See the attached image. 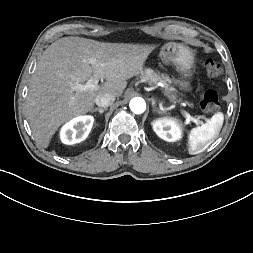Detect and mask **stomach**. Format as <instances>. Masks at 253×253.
I'll use <instances>...</instances> for the list:
<instances>
[{
  "mask_svg": "<svg viewBox=\"0 0 253 253\" xmlns=\"http://www.w3.org/2000/svg\"><path fill=\"white\" fill-rule=\"evenodd\" d=\"M161 60L167 64H173L184 77L191 75L194 66V52L188 46L181 43L169 42L162 46Z\"/></svg>",
  "mask_w": 253,
  "mask_h": 253,
  "instance_id": "stomach-1",
  "label": "stomach"
}]
</instances>
